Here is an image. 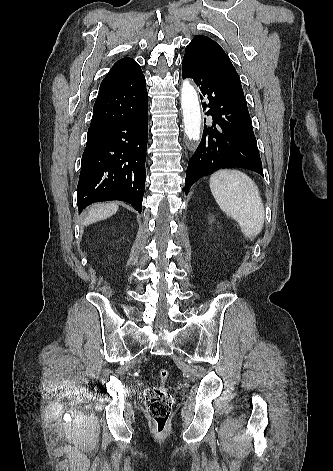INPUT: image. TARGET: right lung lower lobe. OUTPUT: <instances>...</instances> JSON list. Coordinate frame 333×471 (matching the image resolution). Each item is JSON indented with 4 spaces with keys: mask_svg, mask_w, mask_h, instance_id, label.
Wrapping results in <instances>:
<instances>
[{
    "mask_svg": "<svg viewBox=\"0 0 333 471\" xmlns=\"http://www.w3.org/2000/svg\"><path fill=\"white\" fill-rule=\"evenodd\" d=\"M147 141L148 93L141 71L126 85L98 94L81 161L79 211L121 200L141 213Z\"/></svg>",
    "mask_w": 333,
    "mask_h": 471,
    "instance_id": "1",
    "label": "right lung lower lobe"
}]
</instances>
